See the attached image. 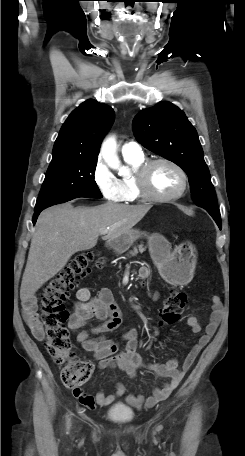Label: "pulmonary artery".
<instances>
[{
	"label": "pulmonary artery",
	"mask_w": 245,
	"mask_h": 456,
	"mask_svg": "<svg viewBox=\"0 0 245 456\" xmlns=\"http://www.w3.org/2000/svg\"><path fill=\"white\" fill-rule=\"evenodd\" d=\"M121 151L123 155L139 156L143 154L140 145L136 142L124 143Z\"/></svg>",
	"instance_id": "1"
}]
</instances>
